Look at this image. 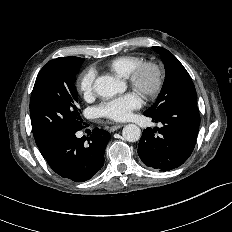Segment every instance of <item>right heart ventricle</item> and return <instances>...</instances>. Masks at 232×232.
Wrapping results in <instances>:
<instances>
[{"label":"right heart ventricle","instance_id":"e07e8e85","mask_svg":"<svg viewBox=\"0 0 232 232\" xmlns=\"http://www.w3.org/2000/svg\"><path fill=\"white\" fill-rule=\"evenodd\" d=\"M142 62V58L135 55H122L107 63L108 69L120 77H128L132 70Z\"/></svg>","mask_w":232,"mask_h":232}]
</instances>
